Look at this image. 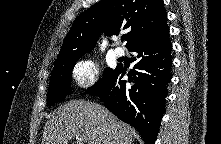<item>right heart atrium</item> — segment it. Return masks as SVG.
Here are the masks:
<instances>
[{
	"label": "right heart atrium",
	"instance_id": "d8ad5b80",
	"mask_svg": "<svg viewBox=\"0 0 221 144\" xmlns=\"http://www.w3.org/2000/svg\"><path fill=\"white\" fill-rule=\"evenodd\" d=\"M100 68L90 58L78 61L72 69V78L77 87L87 89L95 85L99 79Z\"/></svg>",
	"mask_w": 221,
	"mask_h": 144
}]
</instances>
